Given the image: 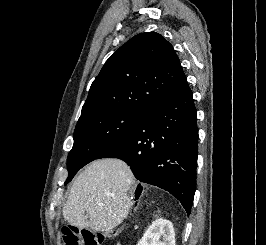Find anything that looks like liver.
I'll list each match as a JSON object with an SVG mask.
<instances>
[{"mask_svg":"<svg viewBox=\"0 0 266 245\" xmlns=\"http://www.w3.org/2000/svg\"><path fill=\"white\" fill-rule=\"evenodd\" d=\"M134 183V175L124 161H93L75 179L63 207V219L78 229H115L131 209L130 191Z\"/></svg>","mask_w":266,"mask_h":245,"instance_id":"obj_1","label":"liver"}]
</instances>
